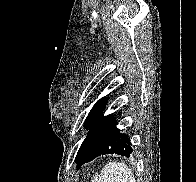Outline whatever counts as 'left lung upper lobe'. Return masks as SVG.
<instances>
[{"instance_id": "left-lung-upper-lobe-1", "label": "left lung upper lobe", "mask_w": 196, "mask_h": 182, "mask_svg": "<svg viewBox=\"0 0 196 182\" xmlns=\"http://www.w3.org/2000/svg\"><path fill=\"white\" fill-rule=\"evenodd\" d=\"M107 97L101 98L95 103L85 120V128L89 129L83 141L76 159L89 153L100 145L116 128L115 117L111 114L103 117Z\"/></svg>"}]
</instances>
